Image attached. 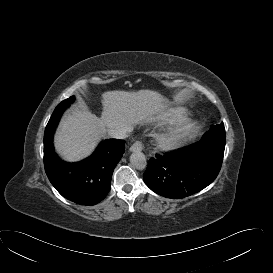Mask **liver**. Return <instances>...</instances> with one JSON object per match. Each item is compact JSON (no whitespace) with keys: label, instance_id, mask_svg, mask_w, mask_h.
Instances as JSON below:
<instances>
[{"label":"liver","instance_id":"obj_1","mask_svg":"<svg viewBox=\"0 0 273 273\" xmlns=\"http://www.w3.org/2000/svg\"><path fill=\"white\" fill-rule=\"evenodd\" d=\"M103 111L98 118L88 110L67 113L54 136L56 151L69 161L91 154L110 129L132 130L154 120L166 107V100L152 90L107 91L102 94Z\"/></svg>","mask_w":273,"mask_h":273}]
</instances>
